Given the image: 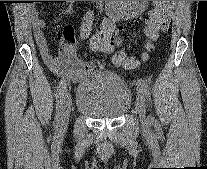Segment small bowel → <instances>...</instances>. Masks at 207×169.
<instances>
[{
  "mask_svg": "<svg viewBox=\"0 0 207 169\" xmlns=\"http://www.w3.org/2000/svg\"><path fill=\"white\" fill-rule=\"evenodd\" d=\"M73 3L74 1H67ZM145 1H107L105 13L106 18L101 26L115 33V24L117 21L134 17L144 8ZM34 28V36L39 49V53L44 63L55 74L62 76L64 79L77 81L103 69L100 61H86L80 59L76 52L75 31L71 25L63 28V42L56 55L52 54L48 45L44 29L45 20L35 10L29 14ZM84 39V38H83ZM115 44L121 45V40L117 38Z\"/></svg>",
  "mask_w": 207,
  "mask_h": 169,
  "instance_id": "c3829d8e",
  "label": "small bowel"
}]
</instances>
